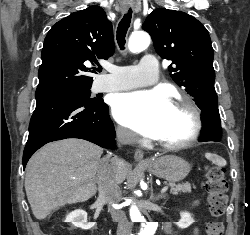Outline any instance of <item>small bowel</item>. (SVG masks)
<instances>
[{
    "label": "small bowel",
    "mask_w": 250,
    "mask_h": 235,
    "mask_svg": "<svg viewBox=\"0 0 250 235\" xmlns=\"http://www.w3.org/2000/svg\"><path fill=\"white\" fill-rule=\"evenodd\" d=\"M196 203H198V202H196ZM165 231H166V233L168 234V235H175L174 233H173V231H172V229H171V227L169 226V225H166L165 226ZM197 233V230H195V234Z\"/></svg>",
    "instance_id": "c3829d8e"
}]
</instances>
